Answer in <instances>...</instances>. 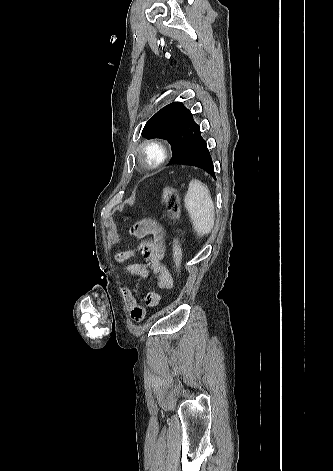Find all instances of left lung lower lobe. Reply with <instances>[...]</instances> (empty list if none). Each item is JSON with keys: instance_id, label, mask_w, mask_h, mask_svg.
<instances>
[{"instance_id": "obj_1", "label": "left lung lower lobe", "mask_w": 333, "mask_h": 471, "mask_svg": "<svg viewBox=\"0 0 333 471\" xmlns=\"http://www.w3.org/2000/svg\"><path fill=\"white\" fill-rule=\"evenodd\" d=\"M183 164L199 167L215 177L214 166L207 149V144L202 138L200 129L194 138L184 146L174 157L171 158L168 165Z\"/></svg>"}]
</instances>
